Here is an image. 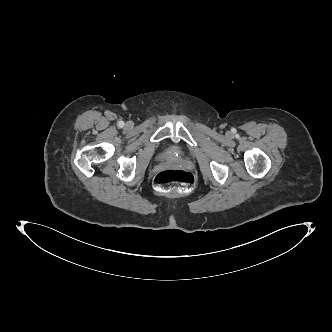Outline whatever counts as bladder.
Instances as JSON below:
<instances>
[{"label": "bladder", "instance_id": "1", "mask_svg": "<svg viewBox=\"0 0 332 332\" xmlns=\"http://www.w3.org/2000/svg\"><path fill=\"white\" fill-rule=\"evenodd\" d=\"M182 153H183L182 149L179 148V147H176V148L169 149L166 152V155L167 156H175V155H182Z\"/></svg>", "mask_w": 332, "mask_h": 332}]
</instances>
